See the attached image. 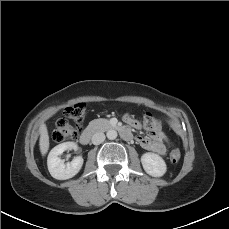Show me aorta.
Segmentation results:
<instances>
[{"label": "aorta", "instance_id": "aorta-1", "mask_svg": "<svg viewBox=\"0 0 229 229\" xmlns=\"http://www.w3.org/2000/svg\"><path fill=\"white\" fill-rule=\"evenodd\" d=\"M107 138H108L109 140H114V139H116V138H117V131H116V130H113V129L108 130V131H107Z\"/></svg>", "mask_w": 229, "mask_h": 229}]
</instances>
